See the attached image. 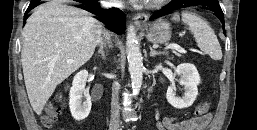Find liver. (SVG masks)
Listing matches in <instances>:
<instances>
[{
  "label": "liver",
  "instance_id": "obj_1",
  "mask_svg": "<svg viewBox=\"0 0 257 130\" xmlns=\"http://www.w3.org/2000/svg\"><path fill=\"white\" fill-rule=\"evenodd\" d=\"M102 33V25L84 10L58 1L35 9L23 29L21 62L28 98L37 114L57 85L92 57Z\"/></svg>",
  "mask_w": 257,
  "mask_h": 130
}]
</instances>
